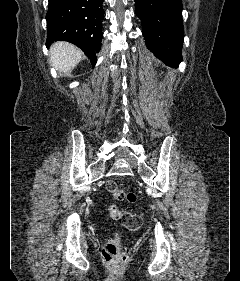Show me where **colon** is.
Wrapping results in <instances>:
<instances>
[{
	"instance_id": "obj_1",
	"label": "colon",
	"mask_w": 240,
	"mask_h": 281,
	"mask_svg": "<svg viewBox=\"0 0 240 281\" xmlns=\"http://www.w3.org/2000/svg\"><path fill=\"white\" fill-rule=\"evenodd\" d=\"M106 189L117 201L130 203L136 201L137 197L134 193L124 190L114 181H108L106 183ZM108 210L114 220L120 221L129 230H137L142 225L143 216L141 213L120 209L115 205H111ZM102 255L105 261L110 265L120 266L126 263L127 256L123 248L121 235L115 234L106 241L102 249Z\"/></svg>"
}]
</instances>
